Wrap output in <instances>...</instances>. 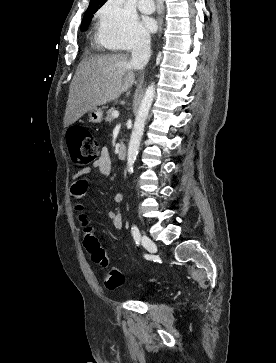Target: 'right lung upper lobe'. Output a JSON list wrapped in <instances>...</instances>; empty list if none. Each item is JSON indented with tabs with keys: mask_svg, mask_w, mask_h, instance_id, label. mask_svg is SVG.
Here are the masks:
<instances>
[{
	"mask_svg": "<svg viewBox=\"0 0 276 363\" xmlns=\"http://www.w3.org/2000/svg\"><path fill=\"white\" fill-rule=\"evenodd\" d=\"M104 2H105V0H91L89 6H92V5L101 6Z\"/></svg>",
	"mask_w": 276,
	"mask_h": 363,
	"instance_id": "1",
	"label": "right lung upper lobe"
}]
</instances>
